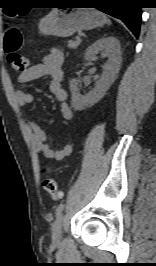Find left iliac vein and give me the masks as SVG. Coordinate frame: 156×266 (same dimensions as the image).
<instances>
[{
	"label": "left iliac vein",
	"instance_id": "obj_1",
	"mask_svg": "<svg viewBox=\"0 0 156 266\" xmlns=\"http://www.w3.org/2000/svg\"><path fill=\"white\" fill-rule=\"evenodd\" d=\"M64 222V216L60 214L52 225V242L57 245L61 241V230Z\"/></svg>",
	"mask_w": 156,
	"mask_h": 266
}]
</instances>
